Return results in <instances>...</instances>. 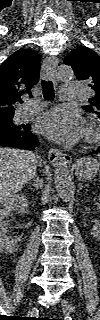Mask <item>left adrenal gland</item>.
Instances as JSON below:
<instances>
[{
	"instance_id": "left-adrenal-gland-1",
	"label": "left adrenal gland",
	"mask_w": 100,
	"mask_h": 320,
	"mask_svg": "<svg viewBox=\"0 0 100 320\" xmlns=\"http://www.w3.org/2000/svg\"><path fill=\"white\" fill-rule=\"evenodd\" d=\"M85 187H87V185H82V183H79V184H78V192H79L80 190H82L83 188H85Z\"/></svg>"
}]
</instances>
